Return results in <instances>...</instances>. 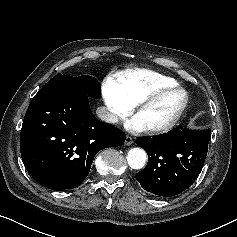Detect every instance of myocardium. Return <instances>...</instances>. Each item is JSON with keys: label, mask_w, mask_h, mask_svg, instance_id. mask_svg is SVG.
Segmentation results:
<instances>
[{"label": "myocardium", "mask_w": 237, "mask_h": 237, "mask_svg": "<svg viewBox=\"0 0 237 237\" xmlns=\"http://www.w3.org/2000/svg\"><path fill=\"white\" fill-rule=\"evenodd\" d=\"M174 92H179L183 94V101L177 111L174 113V115L168 120L166 123L162 125H157V126H150V127H145V131L148 133L152 134H157V133H164L169 130H171L179 121L183 113L185 112L188 104H189V95L188 92L179 86H169L165 88H161L154 92L153 94L147 96L140 102H138L135 107H134V114L135 116L140 113L142 110H144L146 107L151 106L158 102L160 99L165 97L168 94L174 93Z\"/></svg>", "instance_id": "f54148a6"}]
</instances>
